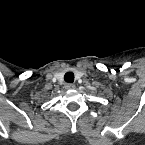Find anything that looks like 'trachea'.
Masks as SVG:
<instances>
[{"mask_svg": "<svg viewBox=\"0 0 145 145\" xmlns=\"http://www.w3.org/2000/svg\"><path fill=\"white\" fill-rule=\"evenodd\" d=\"M64 80L68 83H72L74 82V73L72 72H67L65 75H64Z\"/></svg>", "mask_w": 145, "mask_h": 145, "instance_id": "1", "label": "trachea"}]
</instances>
